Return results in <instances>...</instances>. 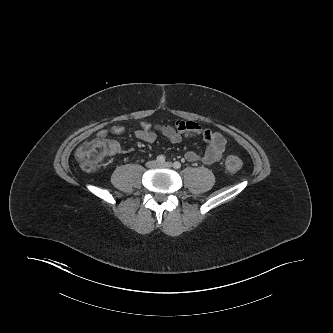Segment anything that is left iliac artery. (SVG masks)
Segmentation results:
<instances>
[{"mask_svg":"<svg viewBox=\"0 0 333 333\" xmlns=\"http://www.w3.org/2000/svg\"><path fill=\"white\" fill-rule=\"evenodd\" d=\"M173 167H174L175 169H180V168H181V163L178 162V161H176V162L173 163Z\"/></svg>","mask_w":333,"mask_h":333,"instance_id":"obj_1","label":"left iliac artery"}]
</instances>
